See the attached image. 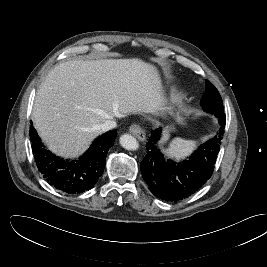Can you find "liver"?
<instances>
[{
	"label": "liver",
	"instance_id": "1",
	"mask_svg": "<svg viewBox=\"0 0 267 267\" xmlns=\"http://www.w3.org/2000/svg\"><path fill=\"white\" fill-rule=\"evenodd\" d=\"M164 98L156 68L140 59L71 60L56 65L40 85L34 126L57 155H81L108 119L156 114Z\"/></svg>",
	"mask_w": 267,
	"mask_h": 267
}]
</instances>
